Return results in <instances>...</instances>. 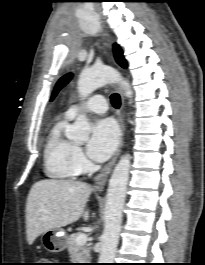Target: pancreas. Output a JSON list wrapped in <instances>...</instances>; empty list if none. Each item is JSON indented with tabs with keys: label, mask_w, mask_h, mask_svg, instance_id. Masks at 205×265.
Listing matches in <instances>:
<instances>
[{
	"label": "pancreas",
	"mask_w": 205,
	"mask_h": 265,
	"mask_svg": "<svg viewBox=\"0 0 205 265\" xmlns=\"http://www.w3.org/2000/svg\"><path fill=\"white\" fill-rule=\"evenodd\" d=\"M80 233H74L67 239V248L71 259L75 263H89L91 260L90 248L88 245H78L76 238Z\"/></svg>",
	"instance_id": "obj_1"
}]
</instances>
